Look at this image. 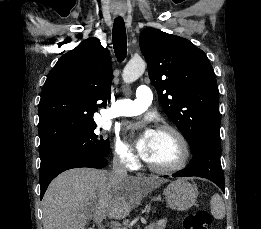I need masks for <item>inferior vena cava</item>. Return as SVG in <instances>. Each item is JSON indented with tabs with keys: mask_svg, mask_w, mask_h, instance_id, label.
<instances>
[{
	"mask_svg": "<svg viewBox=\"0 0 261 229\" xmlns=\"http://www.w3.org/2000/svg\"><path fill=\"white\" fill-rule=\"evenodd\" d=\"M112 173H115L116 177H128L126 171V163L124 159L114 157L112 165Z\"/></svg>",
	"mask_w": 261,
	"mask_h": 229,
	"instance_id": "obj_1",
	"label": "inferior vena cava"
}]
</instances>
